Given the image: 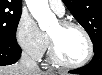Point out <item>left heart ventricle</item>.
<instances>
[{"instance_id": "b2bd125f", "label": "left heart ventricle", "mask_w": 102, "mask_h": 75, "mask_svg": "<svg viewBox=\"0 0 102 75\" xmlns=\"http://www.w3.org/2000/svg\"><path fill=\"white\" fill-rule=\"evenodd\" d=\"M49 34L54 38L61 57L67 62L82 60L87 54V42L83 33L74 27L62 30L56 23Z\"/></svg>"}]
</instances>
